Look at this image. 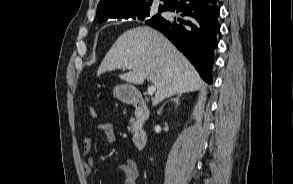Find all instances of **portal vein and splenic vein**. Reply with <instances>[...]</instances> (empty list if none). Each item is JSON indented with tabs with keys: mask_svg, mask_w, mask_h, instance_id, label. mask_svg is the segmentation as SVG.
I'll list each match as a JSON object with an SVG mask.
<instances>
[{
	"mask_svg": "<svg viewBox=\"0 0 293 184\" xmlns=\"http://www.w3.org/2000/svg\"><path fill=\"white\" fill-rule=\"evenodd\" d=\"M156 92V86L155 85H149L147 89V93L149 96L153 95Z\"/></svg>",
	"mask_w": 293,
	"mask_h": 184,
	"instance_id": "18ae733b",
	"label": "portal vein and splenic vein"
}]
</instances>
